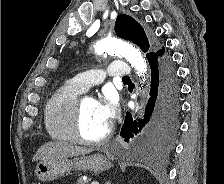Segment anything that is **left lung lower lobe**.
I'll return each instance as SVG.
<instances>
[{
	"label": "left lung lower lobe",
	"mask_w": 224,
	"mask_h": 184,
	"mask_svg": "<svg viewBox=\"0 0 224 184\" xmlns=\"http://www.w3.org/2000/svg\"><path fill=\"white\" fill-rule=\"evenodd\" d=\"M151 69V90L144 120L133 121L126 113L120 135L126 142L152 119L144 136V147L166 150L170 148L178 129L179 87L170 56L162 48L147 56Z\"/></svg>",
	"instance_id": "0a47b994"
}]
</instances>
